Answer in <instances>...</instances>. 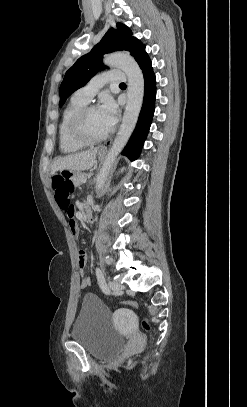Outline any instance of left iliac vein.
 <instances>
[{"label": "left iliac vein", "mask_w": 247, "mask_h": 407, "mask_svg": "<svg viewBox=\"0 0 247 407\" xmlns=\"http://www.w3.org/2000/svg\"><path fill=\"white\" fill-rule=\"evenodd\" d=\"M108 286L111 288V290L115 293H120L124 290V286L117 282V281H109Z\"/></svg>", "instance_id": "1"}]
</instances>
